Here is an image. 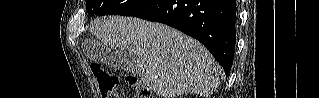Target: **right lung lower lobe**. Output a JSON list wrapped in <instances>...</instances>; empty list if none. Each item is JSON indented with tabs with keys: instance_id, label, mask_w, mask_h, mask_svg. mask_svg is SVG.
Returning <instances> with one entry per match:
<instances>
[{
	"instance_id": "right-lung-lower-lobe-1",
	"label": "right lung lower lobe",
	"mask_w": 319,
	"mask_h": 98,
	"mask_svg": "<svg viewBox=\"0 0 319 98\" xmlns=\"http://www.w3.org/2000/svg\"><path fill=\"white\" fill-rule=\"evenodd\" d=\"M235 0H146L121 14L160 22L199 40L228 74L236 43Z\"/></svg>"
}]
</instances>
